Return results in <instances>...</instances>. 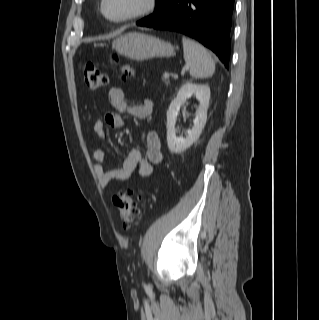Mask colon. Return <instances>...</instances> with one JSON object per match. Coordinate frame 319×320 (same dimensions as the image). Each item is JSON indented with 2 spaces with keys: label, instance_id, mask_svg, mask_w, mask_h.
Masks as SVG:
<instances>
[{
  "label": "colon",
  "instance_id": "obj_1",
  "mask_svg": "<svg viewBox=\"0 0 319 320\" xmlns=\"http://www.w3.org/2000/svg\"><path fill=\"white\" fill-rule=\"evenodd\" d=\"M111 60L117 63L119 58L113 54ZM81 71L84 76L85 83L89 89L96 90L108 83V77L95 64L85 62L81 65ZM119 75L123 79L131 78L135 75V69L130 65H123L119 68ZM114 205L126 227H132L139 220V204L141 197L135 196L130 191L118 193L113 199Z\"/></svg>",
  "mask_w": 319,
  "mask_h": 320
}]
</instances>
